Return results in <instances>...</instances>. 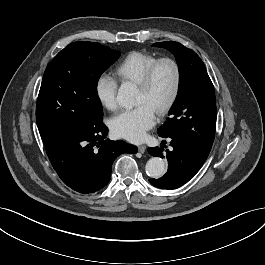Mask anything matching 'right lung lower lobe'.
<instances>
[{
    "label": "right lung lower lobe",
    "mask_w": 265,
    "mask_h": 265,
    "mask_svg": "<svg viewBox=\"0 0 265 265\" xmlns=\"http://www.w3.org/2000/svg\"><path fill=\"white\" fill-rule=\"evenodd\" d=\"M108 128L97 122L89 129L44 143L49 160L60 179L79 193H94L111 178L113 161L120 154L136 153L137 147L105 139Z\"/></svg>",
    "instance_id": "obj_1"
}]
</instances>
